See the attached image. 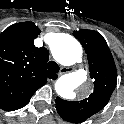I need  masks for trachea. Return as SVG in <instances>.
I'll return each instance as SVG.
<instances>
[{"instance_id": "1", "label": "trachea", "mask_w": 124, "mask_h": 124, "mask_svg": "<svg viewBox=\"0 0 124 124\" xmlns=\"http://www.w3.org/2000/svg\"><path fill=\"white\" fill-rule=\"evenodd\" d=\"M48 70L57 73L60 69L59 65L55 61H49L47 64Z\"/></svg>"}]
</instances>
